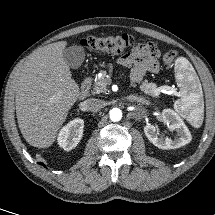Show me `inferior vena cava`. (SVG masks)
Masks as SVG:
<instances>
[{
	"label": "inferior vena cava",
	"mask_w": 215,
	"mask_h": 215,
	"mask_svg": "<svg viewBox=\"0 0 215 215\" xmlns=\"http://www.w3.org/2000/svg\"><path fill=\"white\" fill-rule=\"evenodd\" d=\"M84 107L88 111L97 112L104 107V102L100 99L89 98L84 101Z\"/></svg>",
	"instance_id": "602c4592"
}]
</instances>
